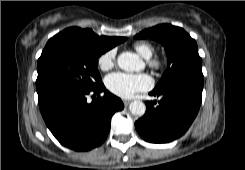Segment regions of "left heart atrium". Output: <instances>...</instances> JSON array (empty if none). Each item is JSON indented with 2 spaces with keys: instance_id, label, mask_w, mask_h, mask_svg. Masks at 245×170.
Returning <instances> with one entry per match:
<instances>
[{
  "instance_id": "obj_1",
  "label": "left heart atrium",
  "mask_w": 245,
  "mask_h": 170,
  "mask_svg": "<svg viewBox=\"0 0 245 170\" xmlns=\"http://www.w3.org/2000/svg\"><path fill=\"white\" fill-rule=\"evenodd\" d=\"M105 83L112 93L122 98H130L135 93L147 91L152 87V80L148 75L124 72L109 74Z\"/></svg>"
}]
</instances>
